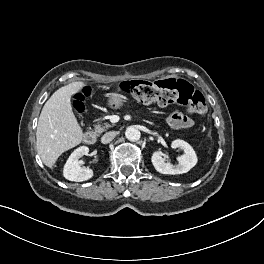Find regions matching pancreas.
<instances>
[{
    "instance_id": "1",
    "label": "pancreas",
    "mask_w": 264,
    "mask_h": 264,
    "mask_svg": "<svg viewBox=\"0 0 264 264\" xmlns=\"http://www.w3.org/2000/svg\"><path fill=\"white\" fill-rule=\"evenodd\" d=\"M110 127H112V125L109 123L95 125L94 133L101 134L102 132L108 130Z\"/></svg>"
}]
</instances>
